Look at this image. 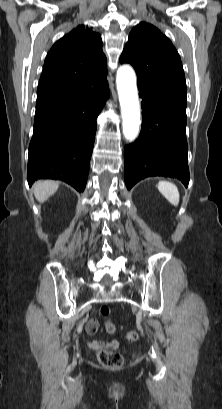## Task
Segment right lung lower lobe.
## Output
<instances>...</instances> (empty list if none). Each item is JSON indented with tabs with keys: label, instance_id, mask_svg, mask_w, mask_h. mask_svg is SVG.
I'll return each instance as SVG.
<instances>
[{
	"label": "right lung lower lobe",
	"instance_id": "1",
	"mask_svg": "<svg viewBox=\"0 0 222 409\" xmlns=\"http://www.w3.org/2000/svg\"><path fill=\"white\" fill-rule=\"evenodd\" d=\"M106 74L89 79L79 95L36 105L29 145L27 180H63L85 189L93 150L96 118L109 97Z\"/></svg>",
	"mask_w": 222,
	"mask_h": 409
}]
</instances>
